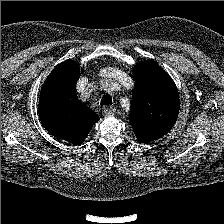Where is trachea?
<instances>
[{"label": "trachea", "mask_w": 224, "mask_h": 224, "mask_svg": "<svg viewBox=\"0 0 224 224\" xmlns=\"http://www.w3.org/2000/svg\"><path fill=\"white\" fill-rule=\"evenodd\" d=\"M111 103H112V98L109 95H104L100 102L101 106L109 105Z\"/></svg>", "instance_id": "obj_1"}]
</instances>
